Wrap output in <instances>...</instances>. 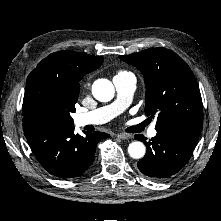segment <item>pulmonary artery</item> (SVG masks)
Returning a JSON list of instances; mask_svg holds the SVG:
<instances>
[{"label": "pulmonary artery", "mask_w": 221, "mask_h": 221, "mask_svg": "<svg viewBox=\"0 0 221 221\" xmlns=\"http://www.w3.org/2000/svg\"><path fill=\"white\" fill-rule=\"evenodd\" d=\"M117 100L112 104L95 109L90 112L78 114L75 117L77 126L98 125L105 123L119 114L130 102L136 88V79L132 73L121 76H115L113 79ZM157 131L155 125H152L148 131L150 137H155Z\"/></svg>", "instance_id": "1"}]
</instances>
